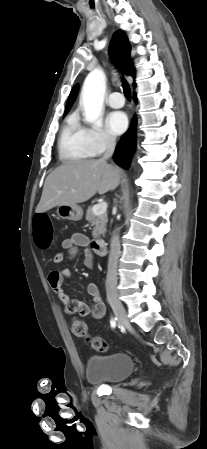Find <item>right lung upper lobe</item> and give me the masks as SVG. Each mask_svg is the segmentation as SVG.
<instances>
[{
	"mask_svg": "<svg viewBox=\"0 0 207 449\" xmlns=\"http://www.w3.org/2000/svg\"><path fill=\"white\" fill-rule=\"evenodd\" d=\"M110 56L116 65L127 75L134 76V68L130 65V52L131 45L128 41L126 34L123 31H116L110 43ZM135 84V83H134ZM78 92V86L75 85L68 97L66 104L65 114L70 109L72 103L74 102Z\"/></svg>",
	"mask_w": 207,
	"mask_h": 449,
	"instance_id": "right-lung-upper-lobe-1",
	"label": "right lung upper lobe"
}]
</instances>
